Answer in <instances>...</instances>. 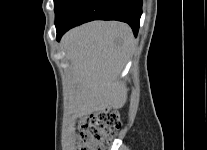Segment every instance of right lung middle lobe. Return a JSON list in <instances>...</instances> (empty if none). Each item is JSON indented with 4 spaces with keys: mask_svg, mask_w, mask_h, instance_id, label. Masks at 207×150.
<instances>
[{
    "mask_svg": "<svg viewBox=\"0 0 207 150\" xmlns=\"http://www.w3.org/2000/svg\"><path fill=\"white\" fill-rule=\"evenodd\" d=\"M70 0H54L55 18L69 4Z\"/></svg>",
    "mask_w": 207,
    "mask_h": 150,
    "instance_id": "obj_1",
    "label": "right lung middle lobe"
}]
</instances>
